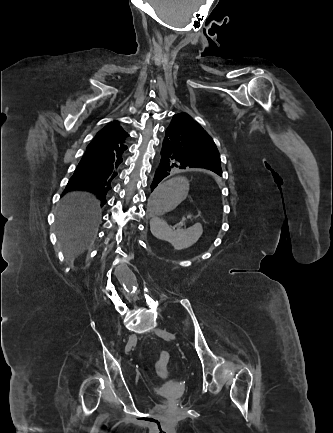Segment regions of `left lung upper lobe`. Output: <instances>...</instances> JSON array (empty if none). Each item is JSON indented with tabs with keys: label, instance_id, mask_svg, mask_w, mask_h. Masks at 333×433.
<instances>
[{
	"label": "left lung upper lobe",
	"instance_id": "1",
	"mask_svg": "<svg viewBox=\"0 0 333 433\" xmlns=\"http://www.w3.org/2000/svg\"><path fill=\"white\" fill-rule=\"evenodd\" d=\"M165 138L172 150L222 176L220 155L214 141L190 115H174Z\"/></svg>",
	"mask_w": 333,
	"mask_h": 433
}]
</instances>
